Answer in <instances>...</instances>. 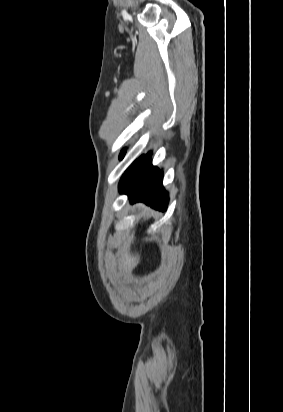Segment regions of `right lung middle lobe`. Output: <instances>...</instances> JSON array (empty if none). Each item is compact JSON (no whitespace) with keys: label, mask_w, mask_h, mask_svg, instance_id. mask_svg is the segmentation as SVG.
Returning a JSON list of instances; mask_svg holds the SVG:
<instances>
[{"label":"right lung middle lobe","mask_w":283,"mask_h":412,"mask_svg":"<svg viewBox=\"0 0 283 412\" xmlns=\"http://www.w3.org/2000/svg\"><path fill=\"white\" fill-rule=\"evenodd\" d=\"M125 153H126V149H123V150L121 151L120 155H119V159H120V160L123 159Z\"/></svg>","instance_id":"dd1d6c3e"}]
</instances>
